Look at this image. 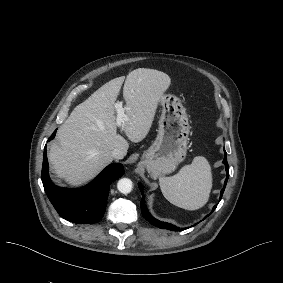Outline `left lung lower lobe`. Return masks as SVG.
Listing matches in <instances>:
<instances>
[{"label": "left lung lower lobe", "mask_w": 283, "mask_h": 283, "mask_svg": "<svg viewBox=\"0 0 283 283\" xmlns=\"http://www.w3.org/2000/svg\"><path fill=\"white\" fill-rule=\"evenodd\" d=\"M225 152V157H224V160H223V163L225 164V167H226V172H227V178L225 180V183H224V187L223 189L221 190V195H220V199L223 195V192H224V189L226 187V184H227V180H228V177H229V166H228V163H227V154H226V151L224 150ZM138 186H139V189L142 193V200L140 202V206H141V213L143 215V217L152 225L158 227V228H161V229H167V230H172V231H182L183 228H179L173 224H170V223H167V222H163V221H159L157 220L156 218H154L148 211L146 205H145V201H144V194H143V187L140 183H138ZM217 207V204L213 207L212 209V212L215 210V208ZM209 215H207L205 218H207ZM204 218V219H205Z\"/></svg>", "instance_id": "obj_1"}]
</instances>
